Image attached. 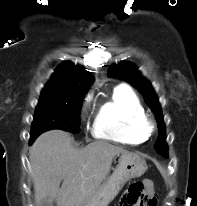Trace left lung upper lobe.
<instances>
[{
    "instance_id": "1",
    "label": "left lung upper lobe",
    "mask_w": 197,
    "mask_h": 206,
    "mask_svg": "<svg viewBox=\"0 0 197 206\" xmlns=\"http://www.w3.org/2000/svg\"><path fill=\"white\" fill-rule=\"evenodd\" d=\"M108 75L115 78L123 79L131 83L145 98L146 103L154 112L158 128L159 136L155 143V149L163 156L167 154V144L165 136V125L163 122L161 106L158 98L151 86V84L144 79L137 71L134 65L130 63H121L119 65H113L108 70Z\"/></svg>"
}]
</instances>
